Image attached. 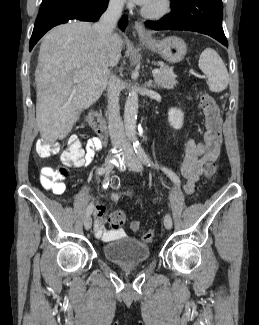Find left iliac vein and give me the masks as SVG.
Wrapping results in <instances>:
<instances>
[{
	"label": "left iliac vein",
	"mask_w": 259,
	"mask_h": 325,
	"mask_svg": "<svg viewBox=\"0 0 259 325\" xmlns=\"http://www.w3.org/2000/svg\"><path fill=\"white\" fill-rule=\"evenodd\" d=\"M125 163L131 170L135 172L142 171V164L132 150L126 151ZM164 226L166 229L172 228V218L169 213H167L164 217Z\"/></svg>",
	"instance_id": "4c4485c4"
}]
</instances>
